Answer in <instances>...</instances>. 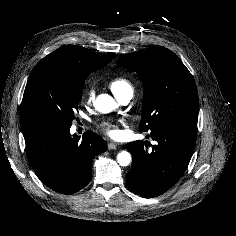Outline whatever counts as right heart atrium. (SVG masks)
<instances>
[{
	"label": "right heart atrium",
	"instance_id": "right-heart-atrium-1",
	"mask_svg": "<svg viewBox=\"0 0 236 236\" xmlns=\"http://www.w3.org/2000/svg\"><path fill=\"white\" fill-rule=\"evenodd\" d=\"M93 94H94V90L92 88H89L86 92V96H87L88 101L92 100Z\"/></svg>",
	"mask_w": 236,
	"mask_h": 236
}]
</instances>
